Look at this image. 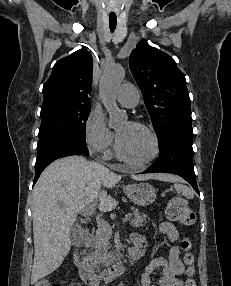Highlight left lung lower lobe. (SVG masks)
Masks as SVG:
<instances>
[{
	"instance_id": "obj_1",
	"label": "left lung lower lobe",
	"mask_w": 231,
	"mask_h": 286,
	"mask_svg": "<svg viewBox=\"0 0 231 286\" xmlns=\"http://www.w3.org/2000/svg\"><path fill=\"white\" fill-rule=\"evenodd\" d=\"M191 123H175L158 135L160 156L142 173L167 172L181 176L199 194L193 168Z\"/></svg>"
}]
</instances>
